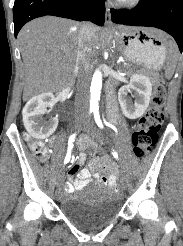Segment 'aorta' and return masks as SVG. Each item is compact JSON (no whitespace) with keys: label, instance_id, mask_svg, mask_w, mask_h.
Wrapping results in <instances>:
<instances>
[{"label":"aorta","instance_id":"762f6f07","mask_svg":"<svg viewBox=\"0 0 183 246\" xmlns=\"http://www.w3.org/2000/svg\"><path fill=\"white\" fill-rule=\"evenodd\" d=\"M102 88V73L99 70H96L93 74L91 87H90V109L98 110L99 109V100Z\"/></svg>","mask_w":183,"mask_h":246}]
</instances>
